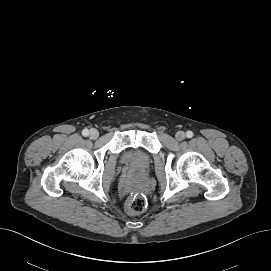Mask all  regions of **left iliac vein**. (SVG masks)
I'll return each instance as SVG.
<instances>
[{
  "mask_svg": "<svg viewBox=\"0 0 271 271\" xmlns=\"http://www.w3.org/2000/svg\"><path fill=\"white\" fill-rule=\"evenodd\" d=\"M175 138L176 140L178 141H182L185 139V133L183 131H178L176 134H175Z\"/></svg>",
  "mask_w": 271,
  "mask_h": 271,
  "instance_id": "4c4485c4",
  "label": "left iliac vein"
}]
</instances>
